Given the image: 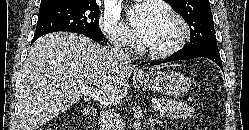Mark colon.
I'll return each mask as SVG.
<instances>
[{"instance_id": "1", "label": "colon", "mask_w": 249, "mask_h": 130, "mask_svg": "<svg viewBox=\"0 0 249 130\" xmlns=\"http://www.w3.org/2000/svg\"><path fill=\"white\" fill-rule=\"evenodd\" d=\"M48 128H49L48 130H54L55 126L54 125H50Z\"/></svg>"}]
</instances>
